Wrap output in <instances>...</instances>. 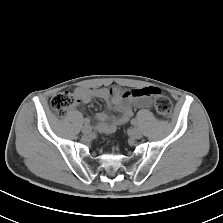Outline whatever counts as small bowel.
I'll list each match as a JSON object with an SVG mask.
<instances>
[{
	"label": "small bowel",
	"mask_w": 223,
	"mask_h": 223,
	"mask_svg": "<svg viewBox=\"0 0 223 223\" xmlns=\"http://www.w3.org/2000/svg\"><path fill=\"white\" fill-rule=\"evenodd\" d=\"M154 91L156 89L153 87H142L132 90H124L118 87L95 89L79 87L75 90V96L79 105L99 99L104 101L110 110L117 112L116 115H109L103 111L96 114V131L102 134H110L129 120L133 114V108H149L151 106L150 96ZM85 120L89 121L87 118Z\"/></svg>",
	"instance_id": "c3829d8e"
}]
</instances>
